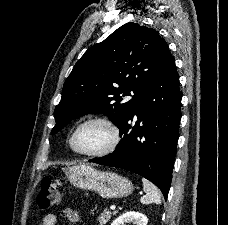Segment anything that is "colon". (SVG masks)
I'll use <instances>...</instances> for the list:
<instances>
[{
	"label": "colon",
	"mask_w": 228,
	"mask_h": 225,
	"mask_svg": "<svg viewBox=\"0 0 228 225\" xmlns=\"http://www.w3.org/2000/svg\"><path fill=\"white\" fill-rule=\"evenodd\" d=\"M60 194L59 182L55 179L44 177L41 190L36 198V203L40 208L46 209L59 201Z\"/></svg>",
	"instance_id": "5ec220e1"
}]
</instances>
